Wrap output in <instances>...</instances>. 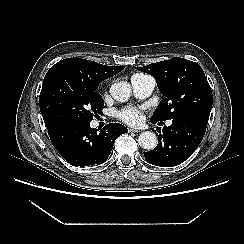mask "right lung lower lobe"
Segmentation results:
<instances>
[{
	"label": "right lung lower lobe",
	"instance_id": "1",
	"mask_svg": "<svg viewBox=\"0 0 244 244\" xmlns=\"http://www.w3.org/2000/svg\"><path fill=\"white\" fill-rule=\"evenodd\" d=\"M128 129L119 123L107 124L100 132L90 122H68L48 129L59 154L74 166L99 165L107 160L118 136Z\"/></svg>",
	"mask_w": 244,
	"mask_h": 244
}]
</instances>
